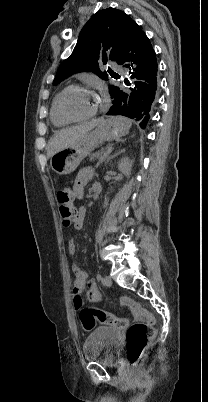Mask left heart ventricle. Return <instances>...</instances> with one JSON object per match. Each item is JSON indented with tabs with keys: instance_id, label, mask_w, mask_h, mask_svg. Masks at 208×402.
Instances as JSON below:
<instances>
[{
	"instance_id": "1",
	"label": "left heart ventricle",
	"mask_w": 208,
	"mask_h": 402,
	"mask_svg": "<svg viewBox=\"0 0 208 402\" xmlns=\"http://www.w3.org/2000/svg\"><path fill=\"white\" fill-rule=\"evenodd\" d=\"M99 97L90 90L74 89L66 93L62 99L65 110L71 115H84L92 111L98 104Z\"/></svg>"
}]
</instances>
